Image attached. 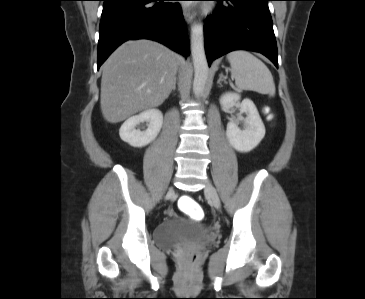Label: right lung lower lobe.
<instances>
[{
    "instance_id": "1",
    "label": "right lung lower lobe",
    "mask_w": 365,
    "mask_h": 299,
    "mask_svg": "<svg viewBox=\"0 0 365 299\" xmlns=\"http://www.w3.org/2000/svg\"><path fill=\"white\" fill-rule=\"evenodd\" d=\"M98 42L99 68L123 42L158 41L187 57L188 37L181 7L170 0H103Z\"/></svg>"
}]
</instances>
